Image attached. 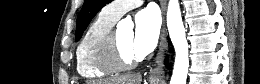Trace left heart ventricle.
Listing matches in <instances>:
<instances>
[{"label":"left heart ventricle","instance_id":"b2bd125f","mask_svg":"<svg viewBox=\"0 0 260 84\" xmlns=\"http://www.w3.org/2000/svg\"><path fill=\"white\" fill-rule=\"evenodd\" d=\"M116 39L119 49L125 58L136 57L133 51V33L132 32H117Z\"/></svg>","mask_w":260,"mask_h":84}]
</instances>
